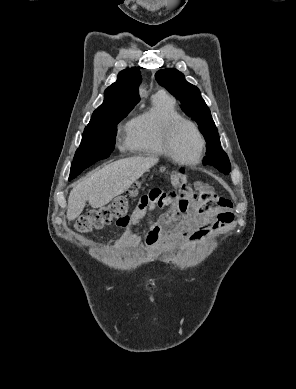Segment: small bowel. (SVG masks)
Here are the masks:
<instances>
[{"label": "small bowel", "mask_w": 296, "mask_h": 389, "mask_svg": "<svg viewBox=\"0 0 296 389\" xmlns=\"http://www.w3.org/2000/svg\"><path fill=\"white\" fill-rule=\"evenodd\" d=\"M156 206L165 207L166 211L149 219L147 239L150 244H168L173 240L195 243L234 220L231 202L216 195L211 189L187 195L154 189L141 198L126 223L120 225L125 229L116 244L117 249L130 245L134 229Z\"/></svg>", "instance_id": "small-bowel-1"}]
</instances>
